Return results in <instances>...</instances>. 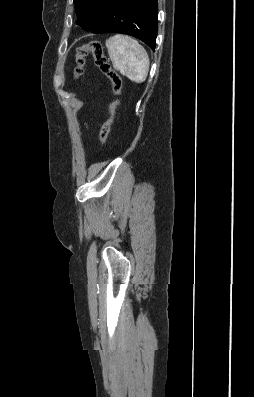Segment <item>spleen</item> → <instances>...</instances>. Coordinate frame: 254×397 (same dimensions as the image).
Here are the masks:
<instances>
[{
	"label": "spleen",
	"mask_w": 254,
	"mask_h": 397,
	"mask_svg": "<svg viewBox=\"0 0 254 397\" xmlns=\"http://www.w3.org/2000/svg\"><path fill=\"white\" fill-rule=\"evenodd\" d=\"M106 47L114 69L135 83L146 80L149 57L138 41L117 34L106 41Z\"/></svg>",
	"instance_id": "1"
}]
</instances>
